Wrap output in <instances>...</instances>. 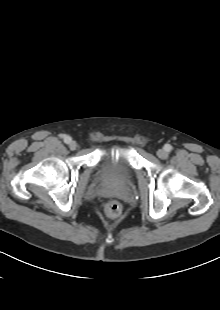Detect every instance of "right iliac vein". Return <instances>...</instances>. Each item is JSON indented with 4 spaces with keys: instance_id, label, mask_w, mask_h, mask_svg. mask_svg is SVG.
<instances>
[{
    "instance_id": "obj_1",
    "label": "right iliac vein",
    "mask_w": 220,
    "mask_h": 310,
    "mask_svg": "<svg viewBox=\"0 0 220 310\" xmlns=\"http://www.w3.org/2000/svg\"><path fill=\"white\" fill-rule=\"evenodd\" d=\"M77 147H78V144H77L76 141H71V142L69 143V148H70L71 150H76Z\"/></svg>"
}]
</instances>
